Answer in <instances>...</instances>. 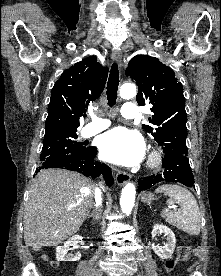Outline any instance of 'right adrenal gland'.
Masks as SVG:
<instances>
[{
	"label": "right adrenal gland",
	"instance_id": "obj_1",
	"mask_svg": "<svg viewBox=\"0 0 221 276\" xmlns=\"http://www.w3.org/2000/svg\"><path fill=\"white\" fill-rule=\"evenodd\" d=\"M87 218H92L93 221H99L100 220V214L98 213H92L87 216Z\"/></svg>",
	"mask_w": 221,
	"mask_h": 276
}]
</instances>
